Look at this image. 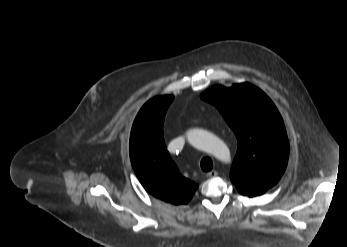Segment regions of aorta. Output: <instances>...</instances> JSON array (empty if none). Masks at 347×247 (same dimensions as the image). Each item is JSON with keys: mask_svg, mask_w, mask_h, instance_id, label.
<instances>
[{"mask_svg": "<svg viewBox=\"0 0 347 247\" xmlns=\"http://www.w3.org/2000/svg\"><path fill=\"white\" fill-rule=\"evenodd\" d=\"M189 143L197 149L206 151L218 159H222L229 154L227 145L203 129H191L186 134Z\"/></svg>", "mask_w": 347, "mask_h": 247, "instance_id": "762f6f07", "label": "aorta"}]
</instances>
